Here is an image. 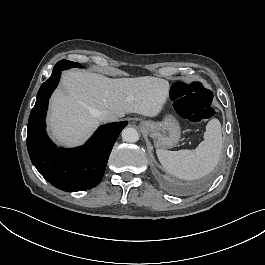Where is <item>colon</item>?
I'll list each match as a JSON object with an SVG mask.
<instances>
[{
    "label": "colon",
    "mask_w": 265,
    "mask_h": 265,
    "mask_svg": "<svg viewBox=\"0 0 265 265\" xmlns=\"http://www.w3.org/2000/svg\"><path fill=\"white\" fill-rule=\"evenodd\" d=\"M168 85L167 96L172 99L176 111L183 114L190 123L195 124L214 117L213 91L198 76L188 81L175 78Z\"/></svg>",
    "instance_id": "colon-1"
}]
</instances>
